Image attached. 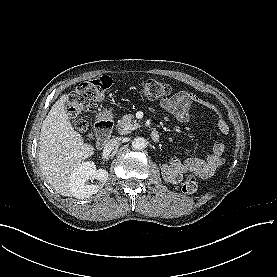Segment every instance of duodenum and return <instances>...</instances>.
Here are the masks:
<instances>
[{"label": "duodenum", "mask_w": 277, "mask_h": 277, "mask_svg": "<svg viewBox=\"0 0 277 277\" xmlns=\"http://www.w3.org/2000/svg\"><path fill=\"white\" fill-rule=\"evenodd\" d=\"M113 128V121L107 118H100L95 124V133L97 137V144L103 145L110 137ZM150 137L154 142L159 141L160 133L158 130L153 129Z\"/></svg>", "instance_id": "obj_1"}]
</instances>
